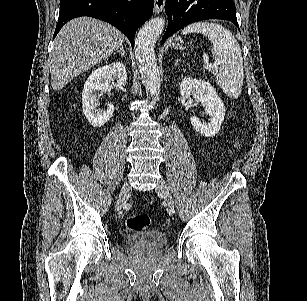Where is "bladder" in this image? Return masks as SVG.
Instances as JSON below:
<instances>
[{
	"label": "bladder",
	"instance_id": "31cf9c89",
	"mask_svg": "<svg viewBox=\"0 0 307 301\" xmlns=\"http://www.w3.org/2000/svg\"><path fill=\"white\" fill-rule=\"evenodd\" d=\"M167 237L164 232L157 229H149L143 232H136L128 237H125V242L130 246L147 247V248H162L167 243Z\"/></svg>",
	"mask_w": 307,
	"mask_h": 301
}]
</instances>
